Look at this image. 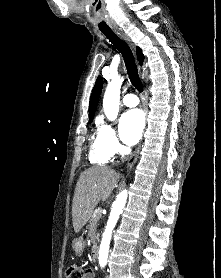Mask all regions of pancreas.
<instances>
[{
  "instance_id": "1",
  "label": "pancreas",
  "mask_w": 221,
  "mask_h": 278,
  "mask_svg": "<svg viewBox=\"0 0 221 278\" xmlns=\"http://www.w3.org/2000/svg\"><path fill=\"white\" fill-rule=\"evenodd\" d=\"M101 215H99L96 211L93 213L92 218L90 220V227H95V223L99 220Z\"/></svg>"
}]
</instances>
